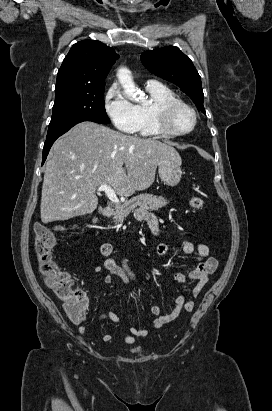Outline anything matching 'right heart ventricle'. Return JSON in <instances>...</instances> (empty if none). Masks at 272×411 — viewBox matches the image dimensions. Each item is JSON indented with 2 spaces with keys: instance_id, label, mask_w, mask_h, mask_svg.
Masks as SVG:
<instances>
[{
  "instance_id": "obj_1",
  "label": "right heart ventricle",
  "mask_w": 272,
  "mask_h": 411,
  "mask_svg": "<svg viewBox=\"0 0 272 411\" xmlns=\"http://www.w3.org/2000/svg\"><path fill=\"white\" fill-rule=\"evenodd\" d=\"M146 90L150 95L151 102L136 105L138 122L135 132L147 137H164L156 127L153 110L157 105L178 99V97L170 88L156 82L148 83Z\"/></svg>"
}]
</instances>
